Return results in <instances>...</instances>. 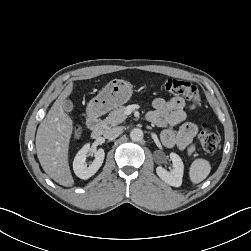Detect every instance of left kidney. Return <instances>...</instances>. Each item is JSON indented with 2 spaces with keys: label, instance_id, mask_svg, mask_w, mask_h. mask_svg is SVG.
I'll use <instances>...</instances> for the list:
<instances>
[{
  "label": "left kidney",
  "instance_id": "left-kidney-1",
  "mask_svg": "<svg viewBox=\"0 0 251 251\" xmlns=\"http://www.w3.org/2000/svg\"><path fill=\"white\" fill-rule=\"evenodd\" d=\"M170 158L173 162V169L169 172L161 166L156 168L157 175L168 185L180 187L182 184L184 165L179 155L172 152Z\"/></svg>",
  "mask_w": 251,
  "mask_h": 251
}]
</instances>
